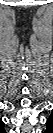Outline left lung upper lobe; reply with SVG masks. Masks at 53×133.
I'll return each mask as SVG.
<instances>
[{
    "instance_id": "1",
    "label": "left lung upper lobe",
    "mask_w": 53,
    "mask_h": 133,
    "mask_svg": "<svg viewBox=\"0 0 53 133\" xmlns=\"http://www.w3.org/2000/svg\"><path fill=\"white\" fill-rule=\"evenodd\" d=\"M51 121V119L47 120V123H49Z\"/></svg>"
}]
</instances>
